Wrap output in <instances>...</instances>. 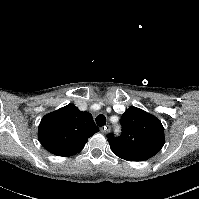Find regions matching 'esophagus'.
Instances as JSON below:
<instances>
[{"mask_svg":"<svg viewBox=\"0 0 199 199\" xmlns=\"http://www.w3.org/2000/svg\"><path fill=\"white\" fill-rule=\"evenodd\" d=\"M110 126L109 125H106V126H104V127H101L100 128V131L102 132V133H104V134H107L109 131H110Z\"/></svg>","mask_w":199,"mask_h":199,"instance_id":"34e87169","label":"esophagus"}]
</instances>
